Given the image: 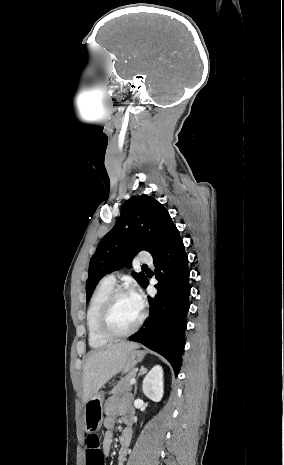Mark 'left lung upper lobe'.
I'll return each instance as SVG.
<instances>
[{
  "instance_id": "1",
  "label": "left lung upper lobe",
  "mask_w": 284,
  "mask_h": 465,
  "mask_svg": "<svg viewBox=\"0 0 284 465\" xmlns=\"http://www.w3.org/2000/svg\"><path fill=\"white\" fill-rule=\"evenodd\" d=\"M177 230L166 208L148 195L131 197L122 208L115 226L101 240L90 264L86 282L87 300L100 279L125 265L130 266L141 250L159 253ZM141 285L144 273L132 272Z\"/></svg>"
}]
</instances>
